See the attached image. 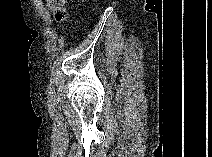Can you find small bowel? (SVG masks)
I'll use <instances>...</instances> for the list:
<instances>
[{
  "label": "small bowel",
  "mask_w": 212,
  "mask_h": 157,
  "mask_svg": "<svg viewBox=\"0 0 212 157\" xmlns=\"http://www.w3.org/2000/svg\"><path fill=\"white\" fill-rule=\"evenodd\" d=\"M36 9L40 15V17L45 21V23L50 24L51 23V14L49 10L44 6L42 0H36L35 1Z\"/></svg>",
  "instance_id": "obj_1"
}]
</instances>
